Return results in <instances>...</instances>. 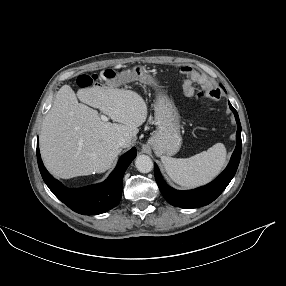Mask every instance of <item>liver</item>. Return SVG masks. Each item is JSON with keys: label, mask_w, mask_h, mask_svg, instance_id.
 Masks as SVG:
<instances>
[{"label": "liver", "mask_w": 286, "mask_h": 286, "mask_svg": "<svg viewBox=\"0 0 286 286\" xmlns=\"http://www.w3.org/2000/svg\"><path fill=\"white\" fill-rule=\"evenodd\" d=\"M85 104L98 108L115 123L102 121L98 112ZM146 118V103L132 90L93 86L76 94L64 85L40 131L43 162L53 175L63 179L103 173L121 151L117 140L126 139V147H130Z\"/></svg>", "instance_id": "6515ba94"}]
</instances>
